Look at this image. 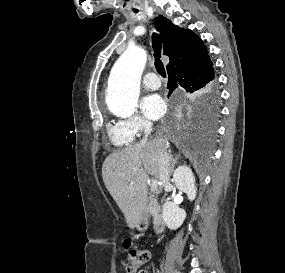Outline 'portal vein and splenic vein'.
Returning <instances> with one entry per match:
<instances>
[{"label":"portal vein and splenic vein","instance_id":"1","mask_svg":"<svg viewBox=\"0 0 285 273\" xmlns=\"http://www.w3.org/2000/svg\"><path fill=\"white\" fill-rule=\"evenodd\" d=\"M159 182L156 179H153L151 182V189L157 190Z\"/></svg>","mask_w":285,"mask_h":273}]
</instances>
